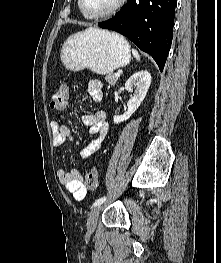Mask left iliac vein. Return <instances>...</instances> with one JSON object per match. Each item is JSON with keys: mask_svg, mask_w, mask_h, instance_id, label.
I'll list each match as a JSON object with an SVG mask.
<instances>
[{"mask_svg": "<svg viewBox=\"0 0 221 263\" xmlns=\"http://www.w3.org/2000/svg\"><path fill=\"white\" fill-rule=\"evenodd\" d=\"M102 209V205H97V206H94L89 214H88V219H87V229L90 231V232H93L96 228V224H97V219H98V215L100 213Z\"/></svg>", "mask_w": 221, "mask_h": 263, "instance_id": "obj_1", "label": "left iliac vein"}]
</instances>
